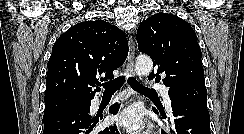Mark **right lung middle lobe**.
<instances>
[{
    "instance_id": "right-lung-middle-lobe-1",
    "label": "right lung middle lobe",
    "mask_w": 244,
    "mask_h": 134,
    "mask_svg": "<svg viewBox=\"0 0 244 134\" xmlns=\"http://www.w3.org/2000/svg\"><path fill=\"white\" fill-rule=\"evenodd\" d=\"M90 103L91 100H84V99H78L73 97H60L51 100H46L43 117H45L46 115L54 111H58L67 107L77 106V105H88Z\"/></svg>"
}]
</instances>
